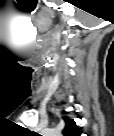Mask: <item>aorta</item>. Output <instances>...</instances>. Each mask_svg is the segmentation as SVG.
<instances>
[{
    "label": "aorta",
    "instance_id": "762f6f07",
    "mask_svg": "<svg viewBox=\"0 0 114 136\" xmlns=\"http://www.w3.org/2000/svg\"><path fill=\"white\" fill-rule=\"evenodd\" d=\"M58 133L57 132H45L44 133V136L45 135H53V136H55V135H57Z\"/></svg>",
    "mask_w": 114,
    "mask_h": 136
}]
</instances>
